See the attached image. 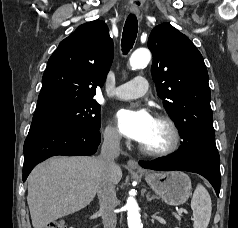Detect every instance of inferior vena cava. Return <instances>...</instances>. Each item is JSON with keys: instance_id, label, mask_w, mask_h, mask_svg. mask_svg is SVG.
<instances>
[{"instance_id": "602c4592", "label": "inferior vena cava", "mask_w": 238, "mask_h": 228, "mask_svg": "<svg viewBox=\"0 0 238 228\" xmlns=\"http://www.w3.org/2000/svg\"><path fill=\"white\" fill-rule=\"evenodd\" d=\"M119 154L120 135L117 132L105 133L101 153L97 157L99 167L97 194L104 228H116L117 217L114 209L117 198L112 173L117 166L114 160Z\"/></svg>"}]
</instances>
